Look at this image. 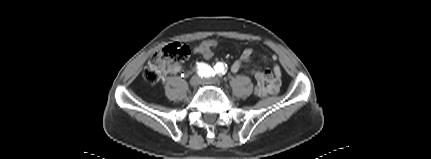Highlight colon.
<instances>
[{
  "label": "colon",
  "mask_w": 431,
  "mask_h": 159,
  "mask_svg": "<svg viewBox=\"0 0 431 159\" xmlns=\"http://www.w3.org/2000/svg\"><path fill=\"white\" fill-rule=\"evenodd\" d=\"M197 53L204 56H213L216 50L211 47L200 46ZM190 55V48L180 43L169 44L157 51L149 60L144 72L143 78L148 83H156L162 75L172 66L185 61ZM252 97L257 99L260 96L261 89L258 84L251 87Z\"/></svg>",
  "instance_id": "1"
}]
</instances>
